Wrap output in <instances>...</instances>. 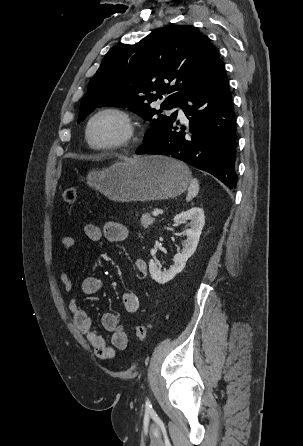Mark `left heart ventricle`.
I'll use <instances>...</instances> for the list:
<instances>
[{"label": "left heart ventricle", "instance_id": "b2bd125f", "mask_svg": "<svg viewBox=\"0 0 303 446\" xmlns=\"http://www.w3.org/2000/svg\"><path fill=\"white\" fill-rule=\"evenodd\" d=\"M122 133V124L116 117L103 115L93 122L90 138L95 145H106L116 141Z\"/></svg>", "mask_w": 303, "mask_h": 446}]
</instances>
